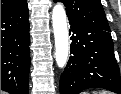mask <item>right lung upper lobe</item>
I'll use <instances>...</instances> for the list:
<instances>
[{
	"label": "right lung upper lobe",
	"instance_id": "1",
	"mask_svg": "<svg viewBox=\"0 0 121 94\" xmlns=\"http://www.w3.org/2000/svg\"><path fill=\"white\" fill-rule=\"evenodd\" d=\"M25 2L26 0H1V14L14 10Z\"/></svg>",
	"mask_w": 121,
	"mask_h": 94
}]
</instances>
